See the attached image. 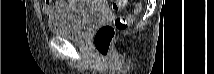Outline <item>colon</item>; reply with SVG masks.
<instances>
[{
	"label": "colon",
	"mask_w": 214,
	"mask_h": 74,
	"mask_svg": "<svg viewBox=\"0 0 214 74\" xmlns=\"http://www.w3.org/2000/svg\"><path fill=\"white\" fill-rule=\"evenodd\" d=\"M127 4L126 0L114 1L112 9L114 11H121ZM141 11V4L137 2L134 13L137 14ZM133 20V15L128 14L124 16H118L114 19L113 23L104 24L100 26L94 36L93 44L100 55L106 57L109 55L113 38L116 31L127 30Z\"/></svg>",
	"instance_id": "1"
}]
</instances>
